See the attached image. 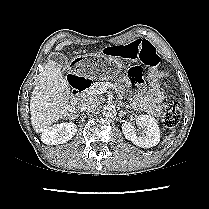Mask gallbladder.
I'll return each mask as SVG.
<instances>
[{"instance_id":"bac80fb5","label":"gallbladder","mask_w":209,"mask_h":209,"mask_svg":"<svg viewBox=\"0 0 209 209\" xmlns=\"http://www.w3.org/2000/svg\"><path fill=\"white\" fill-rule=\"evenodd\" d=\"M51 59L62 68H65L68 65L65 56L60 53H53V55H51Z\"/></svg>"}]
</instances>
